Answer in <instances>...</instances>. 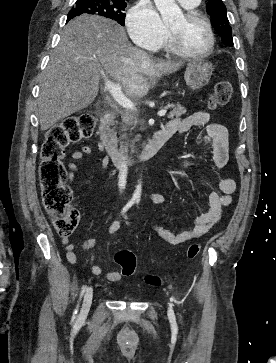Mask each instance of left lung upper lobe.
I'll return each mask as SVG.
<instances>
[{
  "instance_id": "5c2ea615",
  "label": "left lung upper lobe",
  "mask_w": 276,
  "mask_h": 363,
  "mask_svg": "<svg viewBox=\"0 0 276 363\" xmlns=\"http://www.w3.org/2000/svg\"><path fill=\"white\" fill-rule=\"evenodd\" d=\"M207 12L211 16V24L214 30L222 37V42L232 46V29L226 14V7L222 0H210L207 4Z\"/></svg>"
}]
</instances>
